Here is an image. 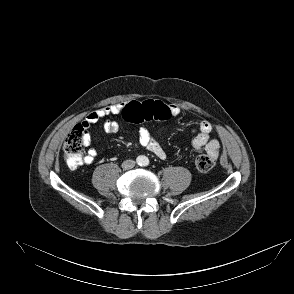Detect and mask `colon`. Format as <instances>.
<instances>
[{"mask_svg": "<svg viewBox=\"0 0 294 294\" xmlns=\"http://www.w3.org/2000/svg\"><path fill=\"white\" fill-rule=\"evenodd\" d=\"M123 118L132 123H142L151 120H168L172 117L168 105L161 101L147 100L143 102H130L122 110ZM84 128L82 125L75 126L67 135L63 151L69 167L76 168L83 164L84 152ZM216 163V158L209 154H201L196 158V168L207 173L211 171Z\"/></svg>", "mask_w": 294, "mask_h": 294, "instance_id": "1", "label": "colon"}]
</instances>
